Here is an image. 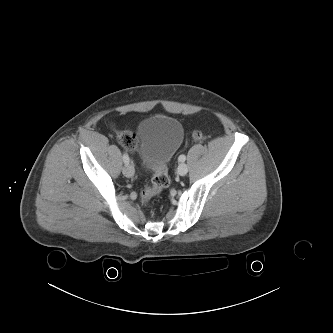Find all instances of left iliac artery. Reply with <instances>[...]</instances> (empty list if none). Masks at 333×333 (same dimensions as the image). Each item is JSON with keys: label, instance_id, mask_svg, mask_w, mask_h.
I'll return each instance as SVG.
<instances>
[{"label": "left iliac artery", "instance_id": "44dca946", "mask_svg": "<svg viewBox=\"0 0 333 333\" xmlns=\"http://www.w3.org/2000/svg\"><path fill=\"white\" fill-rule=\"evenodd\" d=\"M185 160H186V156L183 154L178 157V161H180V162H184Z\"/></svg>", "mask_w": 333, "mask_h": 333}]
</instances>
